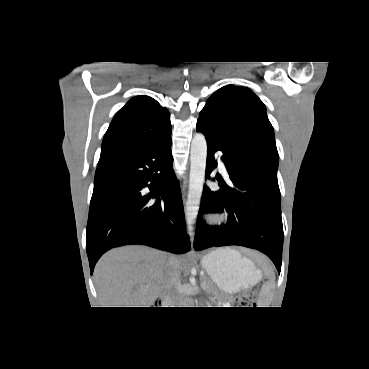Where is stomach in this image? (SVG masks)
Listing matches in <instances>:
<instances>
[{
	"instance_id": "stomach-1",
	"label": "stomach",
	"mask_w": 369,
	"mask_h": 369,
	"mask_svg": "<svg viewBox=\"0 0 369 369\" xmlns=\"http://www.w3.org/2000/svg\"><path fill=\"white\" fill-rule=\"evenodd\" d=\"M202 266L224 292L237 293L261 279V272L248 258L230 248H221L203 256Z\"/></svg>"
}]
</instances>
